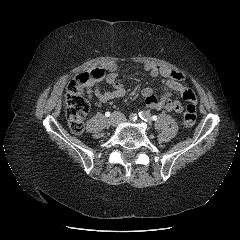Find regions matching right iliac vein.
<instances>
[{
    "instance_id": "63e3f726",
    "label": "right iliac vein",
    "mask_w": 240,
    "mask_h": 240,
    "mask_svg": "<svg viewBox=\"0 0 240 240\" xmlns=\"http://www.w3.org/2000/svg\"><path fill=\"white\" fill-rule=\"evenodd\" d=\"M111 123H112V125H114V126L117 125V123H118V119L112 117V118H111Z\"/></svg>"
}]
</instances>
